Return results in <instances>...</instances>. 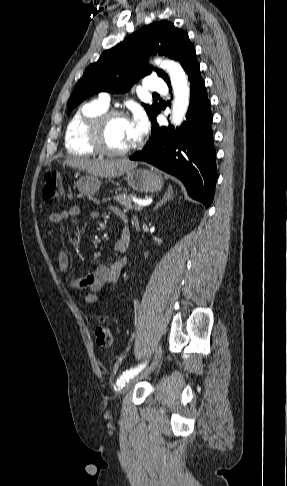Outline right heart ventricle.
I'll list each match as a JSON object with an SVG mask.
<instances>
[{
    "instance_id": "right-heart-ventricle-1",
    "label": "right heart ventricle",
    "mask_w": 287,
    "mask_h": 486,
    "mask_svg": "<svg viewBox=\"0 0 287 486\" xmlns=\"http://www.w3.org/2000/svg\"><path fill=\"white\" fill-rule=\"evenodd\" d=\"M108 109L106 103L95 99L82 104L75 111L66 126L64 137L65 148L70 155L90 157L97 154L87 141V129L95 117Z\"/></svg>"
}]
</instances>
